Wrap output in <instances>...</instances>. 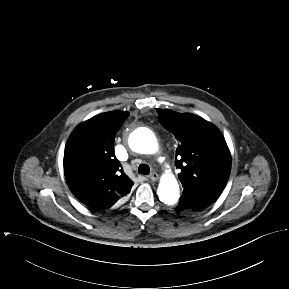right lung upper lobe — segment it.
<instances>
[{"label":"right lung upper lobe","instance_id":"cb5924a9","mask_svg":"<svg viewBox=\"0 0 289 289\" xmlns=\"http://www.w3.org/2000/svg\"><path fill=\"white\" fill-rule=\"evenodd\" d=\"M125 111L102 113L78 125L64 152V173L72 193L85 205L104 210L122 202L133 182L114 153Z\"/></svg>","mask_w":289,"mask_h":289}]
</instances>
